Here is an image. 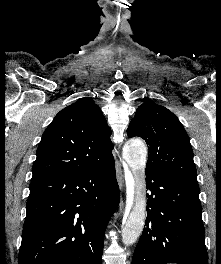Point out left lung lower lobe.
I'll list each match as a JSON object with an SVG mask.
<instances>
[{
	"label": "left lung lower lobe",
	"mask_w": 221,
	"mask_h": 264,
	"mask_svg": "<svg viewBox=\"0 0 221 264\" xmlns=\"http://www.w3.org/2000/svg\"><path fill=\"white\" fill-rule=\"evenodd\" d=\"M145 228L132 264H208L197 183L146 171Z\"/></svg>",
	"instance_id": "obj_1"
}]
</instances>
